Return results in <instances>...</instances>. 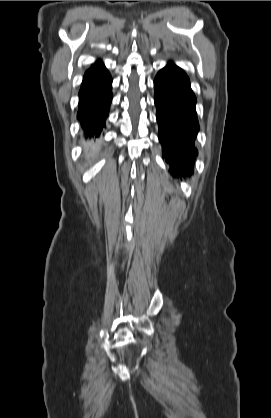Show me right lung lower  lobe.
<instances>
[{
    "label": "right lung lower lobe",
    "mask_w": 271,
    "mask_h": 418,
    "mask_svg": "<svg viewBox=\"0 0 271 418\" xmlns=\"http://www.w3.org/2000/svg\"><path fill=\"white\" fill-rule=\"evenodd\" d=\"M112 78L99 62L84 75L79 91L78 119L86 137H97L102 131L112 101Z\"/></svg>",
    "instance_id": "98d812e1"
}]
</instances>
